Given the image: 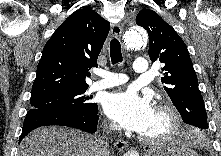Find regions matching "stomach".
<instances>
[{
    "label": "stomach",
    "instance_id": "1",
    "mask_svg": "<svg viewBox=\"0 0 221 156\" xmlns=\"http://www.w3.org/2000/svg\"><path fill=\"white\" fill-rule=\"evenodd\" d=\"M148 156H197V154L177 141H170L151 149Z\"/></svg>",
    "mask_w": 221,
    "mask_h": 156
}]
</instances>
